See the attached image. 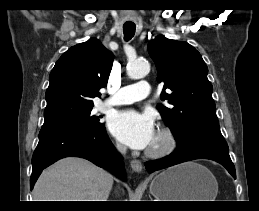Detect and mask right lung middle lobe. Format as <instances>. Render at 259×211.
Here are the masks:
<instances>
[{"label": "right lung middle lobe", "instance_id": "obj_1", "mask_svg": "<svg viewBox=\"0 0 259 211\" xmlns=\"http://www.w3.org/2000/svg\"><path fill=\"white\" fill-rule=\"evenodd\" d=\"M91 110L75 114L73 116L67 117L65 119L52 122L44 123L42 128L49 127H74L81 129H99L104 127L103 123L99 122V117L91 114Z\"/></svg>", "mask_w": 259, "mask_h": 211}]
</instances>
